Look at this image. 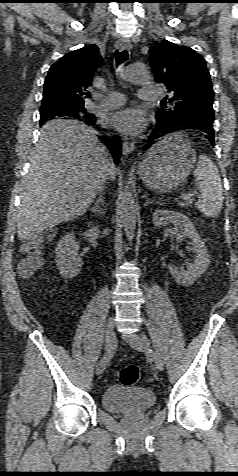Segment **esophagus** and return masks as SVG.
Here are the masks:
<instances>
[{
    "mask_svg": "<svg viewBox=\"0 0 238 476\" xmlns=\"http://www.w3.org/2000/svg\"><path fill=\"white\" fill-rule=\"evenodd\" d=\"M116 48L120 51H123L125 49L130 50L131 49V44L127 39L121 38L117 41L116 43ZM135 148V142L134 141H128L124 140L122 143V156L124 159L128 157V155L134 150Z\"/></svg>",
    "mask_w": 238,
    "mask_h": 476,
    "instance_id": "34e87169",
    "label": "esophagus"
}]
</instances>
